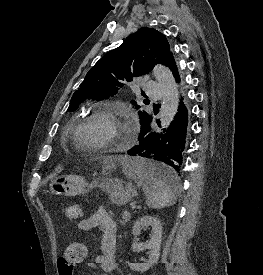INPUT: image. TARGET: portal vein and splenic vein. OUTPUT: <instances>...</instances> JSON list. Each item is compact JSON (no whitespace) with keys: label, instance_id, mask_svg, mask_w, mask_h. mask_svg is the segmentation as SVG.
<instances>
[{"label":"portal vein and splenic vein","instance_id":"1","mask_svg":"<svg viewBox=\"0 0 263 275\" xmlns=\"http://www.w3.org/2000/svg\"><path fill=\"white\" fill-rule=\"evenodd\" d=\"M131 208H132V209H135V208H136V206H135V205H133V206H131Z\"/></svg>","mask_w":263,"mask_h":275}]
</instances>
